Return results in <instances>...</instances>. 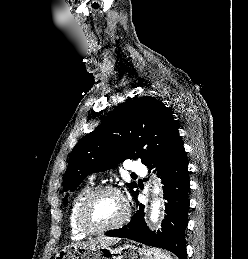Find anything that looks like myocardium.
I'll return each instance as SVG.
<instances>
[{"instance_id":"myocardium-1","label":"myocardium","mask_w":248,"mask_h":259,"mask_svg":"<svg viewBox=\"0 0 248 259\" xmlns=\"http://www.w3.org/2000/svg\"><path fill=\"white\" fill-rule=\"evenodd\" d=\"M104 193H114L118 195L124 204V213L120 219L115 221L114 223L104 225V226H95L89 220V209L94 202V200L104 194ZM130 217V207L129 204L123 195V193L114 186H101L95 189H92L81 201L78 210H77V223L79 227L86 233V234H100L110 230L117 229L123 226Z\"/></svg>"}]
</instances>
